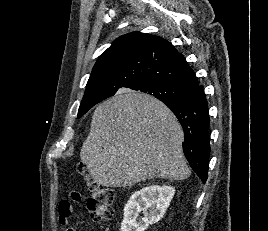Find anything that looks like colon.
Masks as SVG:
<instances>
[{
    "instance_id": "colon-1",
    "label": "colon",
    "mask_w": 268,
    "mask_h": 231,
    "mask_svg": "<svg viewBox=\"0 0 268 231\" xmlns=\"http://www.w3.org/2000/svg\"><path fill=\"white\" fill-rule=\"evenodd\" d=\"M78 171L80 174L86 175L85 165L80 164L78 166ZM112 202L113 192L111 189L96 181H88L87 208L93 220L102 221L109 218L112 214Z\"/></svg>"
}]
</instances>
